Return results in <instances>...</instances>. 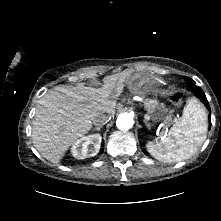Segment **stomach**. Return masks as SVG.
<instances>
[{
  "label": "stomach",
  "mask_w": 221,
  "mask_h": 221,
  "mask_svg": "<svg viewBox=\"0 0 221 221\" xmlns=\"http://www.w3.org/2000/svg\"><path fill=\"white\" fill-rule=\"evenodd\" d=\"M152 77L142 74L135 75L130 80L129 91L134 96L149 97L154 92Z\"/></svg>",
  "instance_id": "stomach-1"
}]
</instances>
